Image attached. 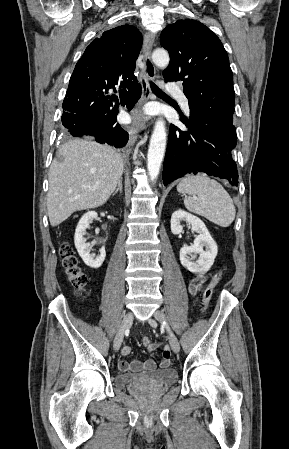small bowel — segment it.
I'll use <instances>...</instances> for the list:
<instances>
[{
	"label": "small bowel",
	"mask_w": 289,
	"mask_h": 449,
	"mask_svg": "<svg viewBox=\"0 0 289 449\" xmlns=\"http://www.w3.org/2000/svg\"><path fill=\"white\" fill-rule=\"evenodd\" d=\"M205 282V277L204 276H198L196 278H194L190 284H189V291L191 293V295L195 296L196 294H198L201 289L202 286ZM146 347V349L149 352H153L154 350H156L159 346V343H154V342H149L147 345H144ZM171 348L168 346L163 347L162 349V354H160L159 359L161 361V366L164 368H169L171 366L170 361L172 360V355L171 353ZM131 353V348L129 346H125L122 349V354L124 356H127ZM157 367V364L154 360L152 359H148L145 361L142 360H132L131 362H127L125 360H120L118 362V369L121 372H128V371H140V370H153Z\"/></svg>",
	"instance_id": "small-bowel-1"
}]
</instances>
